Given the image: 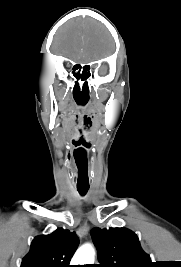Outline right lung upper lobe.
Here are the masks:
<instances>
[{
  "label": "right lung upper lobe",
  "mask_w": 181,
  "mask_h": 267,
  "mask_svg": "<svg viewBox=\"0 0 181 267\" xmlns=\"http://www.w3.org/2000/svg\"><path fill=\"white\" fill-rule=\"evenodd\" d=\"M79 241L74 232L58 228L49 235H40L31 243L30 252L21 267H70V260Z\"/></svg>",
  "instance_id": "right-lung-upper-lobe-1"
}]
</instances>
